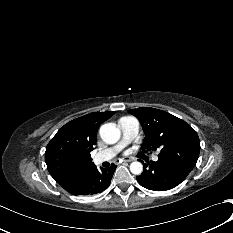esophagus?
I'll list each match as a JSON object with an SVG mask.
<instances>
[{"label":"esophagus","mask_w":233,"mask_h":233,"mask_svg":"<svg viewBox=\"0 0 233 233\" xmlns=\"http://www.w3.org/2000/svg\"><path fill=\"white\" fill-rule=\"evenodd\" d=\"M131 161H133L132 158H125V159L121 160V162H131Z\"/></svg>","instance_id":"obj_1"}]
</instances>
